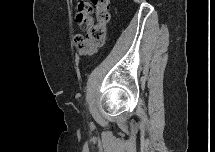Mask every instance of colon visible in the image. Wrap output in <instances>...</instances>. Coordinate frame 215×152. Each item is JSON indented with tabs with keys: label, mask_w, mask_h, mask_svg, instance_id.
Returning <instances> with one entry per match:
<instances>
[{
	"label": "colon",
	"mask_w": 215,
	"mask_h": 152,
	"mask_svg": "<svg viewBox=\"0 0 215 152\" xmlns=\"http://www.w3.org/2000/svg\"><path fill=\"white\" fill-rule=\"evenodd\" d=\"M95 13L97 22H93ZM76 19L79 26L87 30L85 36L76 37V45L82 54H91L106 41V29L111 19L108 0H82L78 4Z\"/></svg>",
	"instance_id": "5ec220e1"
}]
</instances>
